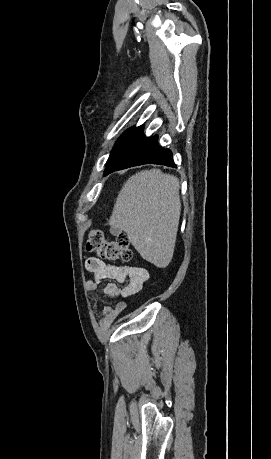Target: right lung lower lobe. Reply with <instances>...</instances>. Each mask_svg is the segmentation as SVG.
Here are the masks:
<instances>
[{"instance_id":"obj_1","label":"right lung lower lobe","mask_w":271,"mask_h":459,"mask_svg":"<svg viewBox=\"0 0 271 459\" xmlns=\"http://www.w3.org/2000/svg\"><path fill=\"white\" fill-rule=\"evenodd\" d=\"M143 164H162L175 167L172 152L160 147L157 136L145 138L140 133L111 160L106 167L105 175L116 170Z\"/></svg>"}]
</instances>
